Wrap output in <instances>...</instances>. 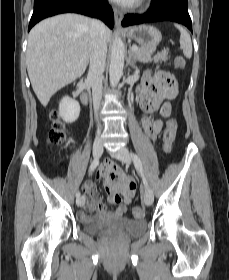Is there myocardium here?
<instances>
[{"label":"myocardium","instance_id":"1","mask_svg":"<svg viewBox=\"0 0 229 280\" xmlns=\"http://www.w3.org/2000/svg\"><path fill=\"white\" fill-rule=\"evenodd\" d=\"M146 3V0H139L136 4L132 5L135 8H141L144 7Z\"/></svg>","mask_w":229,"mask_h":280}]
</instances>
